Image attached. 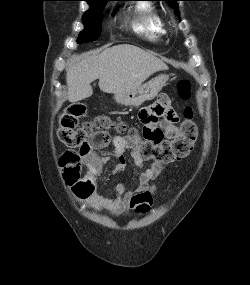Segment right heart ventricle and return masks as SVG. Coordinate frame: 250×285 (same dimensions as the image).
Returning a JSON list of instances; mask_svg holds the SVG:
<instances>
[{
  "label": "right heart ventricle",
  "mask_w": 250,
  "mask_h": 285,
  "mask_svg": "<svg viewBox=\"0 0 250 285\" xmlns=\"http://www.w3.org/2000/svg\"><path fill=\"white\" fill-rule=\"evenodd\" d=\"M136 19L134 31L149 41H158L164 35V24L156 9L147 2L137 3L134 7Z\"/></svg>",
  "instance_id": "1"
}]
</instances>
